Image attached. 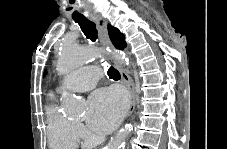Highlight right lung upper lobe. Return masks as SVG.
I'll return each mask as SVG.
<instances>
[{
  "instance_id": "cb5924a9",
  "label": "right lung upper lobe",
  "mask_w": 227,
  "mask_h": 149,
  "mask_svg": "<svg viewBox=\"0 0 227 149\" xmlns=\"http://www.w3.org/2000/svg\"><path fill=\"white\" fill-rule=\"evenodd\" d=\"M108 33L112 43L116 48L123 49L126 47L125 37L117 28L109 24Z\"/></svg>"
}]
</instances>
